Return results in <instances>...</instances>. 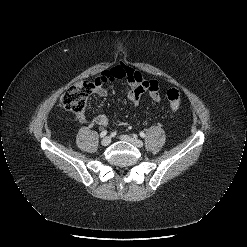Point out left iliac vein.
I'll return each instance as SVG.
<instances>
[{
  "instance_id": "4c4485c4",
  "label": "left iliac vein",
  "mask_w": 247,
  "mask_h": 247,
  "mask_svg": "<svg viewBox=\"0 0 247 247\" xmlns=\"http://www.w3.org/2000/svg\"><path fill=\"white\" fill-rule=\"evenodd\" d=\"M120 139L123 141H126V142H130L138 148H141L144 145L140 139H138L136 137H131L129 135H121Z\"/></svg>"
}]
</instances>
